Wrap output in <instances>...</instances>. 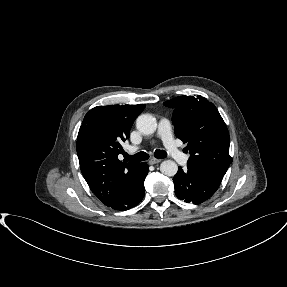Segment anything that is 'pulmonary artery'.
<instances>
[{"mask_svg": "<svg viewBox=\"0 0 287 287\" xmlns=\"http://www.w3.org/2000/svg\"><path fill=\"white\" fill-rule=\"evenodd\" d=\"M158 135L161 137L164 147L168 155H170L177 163L186 164L189 156L182 152V150L177 146L173 135L171 133V125L169 120L162 118L159 122ZM138 147H129L130 152H135Z\"/></svg>", "mask_w": 287, "mask_h": 287, "instance_id": "obj_1", "label": "pulmonary artery"}]
</instances>
